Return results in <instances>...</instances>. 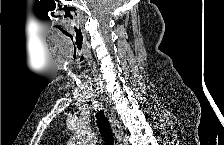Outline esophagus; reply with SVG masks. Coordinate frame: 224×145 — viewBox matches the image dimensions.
Segmentation results:
<instances>
[{"instance_id":"34e87169","label":"esophagus","mask_w":224,"mask_h":145,"mask_svg":"<svg viewBox=\"0 0 224 145\" xmlns=\"http://www.w3.org/2000/svg\"><path fill=\"white\" fill-rule=\"evenodd\" d=\"M109 121L111 123L112 130L115 134L117 141L120 142L122 140L121 125L113 112L109 114Z\"/></svg>"}]
</instances>
